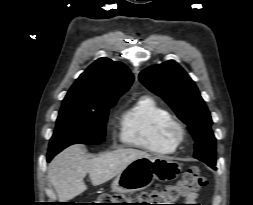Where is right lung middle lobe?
I'll return each mask as SVG.
<instances>
[{"mask_svg": "<svg viewBox=\"0 0 253 205\" xmlns=\"http://www.w3.org/2000/svg\"><path fill=\"white\" fill-rule=\"evenodd\" d=\"M117 99L96 106L62 105L48 153L57 154L71 144H98L104 141L108 109Z\"/></svg>", "mask_w": 253, "mask_h": 205, "instance_id": "1", "label": "right lung middle lobe"}]
</instances>
